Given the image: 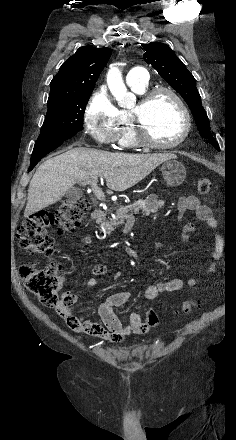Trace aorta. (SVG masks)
<instances>
[{
    "label": "aorta",
    "instance_id": "762f6f07",
    "mask_svg": "<svg viewBox=\"0 0 236 440\" xmlns=\"http://www.w3.org/2000/svg\"><path fill=\"white\" fill-rule=\"evenodd\" d=\"M108 88L121 107H130L134 104L135 96L128 92L122 73L117 67H111L106 77Z\"/></svg>",
    "mask_w": 236,
    "mask_h": 440
}]
</instances>
